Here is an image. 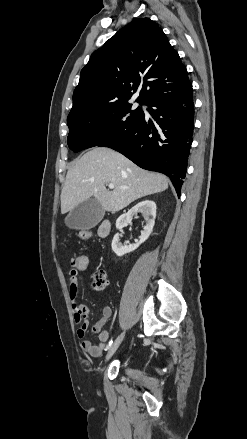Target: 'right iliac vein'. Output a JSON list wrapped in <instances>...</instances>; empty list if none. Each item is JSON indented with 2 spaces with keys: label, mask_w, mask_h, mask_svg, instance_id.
I'll return each mask as SVG.
<instances>
[{
  "label": "right iliac vein",
  "mask_w": 247,
  "mask_h": 439,
  "mask_svg": "<svg viewBox=\"0 0 247 439\" xmlns=\"http://www.w3.org/2000/svg\"><path fill=\"white\" fill-rule=\"evenodd\" d=\"M125 332L121 333L116 340L114 341V343L112 344V346L110 347V349L108 350L106 357H105V362H107L116 352V350L118 349V347L120 346L123 338H124Z\"/></svg>",
  "instance_id": "obj_1"
}]
</instances>
